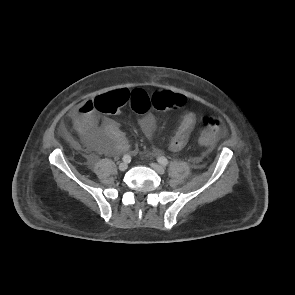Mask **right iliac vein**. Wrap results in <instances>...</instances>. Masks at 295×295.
Returning <instances> with one entry per match:
<instances>
[{
    "label": "right iliac vein",
    "mask_w": 295,
    "mask_h": 295,
    "mask_svg": "<svg viewBox=\"0 0 295 295\" xmlns=\"http://www.w3.org/2000/svg\"><path fill=\"white\" fill-rule=\"evenodd\" d=\"M128 167V164L126 162H122L119 164V170L120 171H125Z\"/></svg>",
    "instance_id": "63e3f726"
}]
</instances>
